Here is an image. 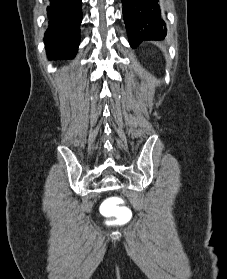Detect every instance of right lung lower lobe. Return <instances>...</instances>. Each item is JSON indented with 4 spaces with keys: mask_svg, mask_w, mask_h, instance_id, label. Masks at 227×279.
<instances>
[{
    "mask_svg": "<svg viewBox=\"0 0 227 279\" xmlns=\"http://www.w3.org/2000/svg\"><path fill=\"white\" fill-rule=\"evenodd\" d=\"M82 0H50L44 42L49 59L74 58L80 41Z\"/></svg>",
    "mask_w": 227,
    "mask_h": 279,
    "instance_id": "obj_1",
    "label": "right lung lower lobe"
}]
</instances>
